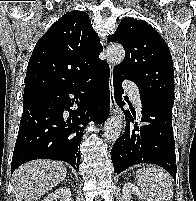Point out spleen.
<instances>
[{"mask_svg":"<svg viewBox=\"0 0 196 201\" xmlns=\"http://www.w3.org/2000/svg\"><path fill=\"white\" fill-rule=\"evenodd\" d=\"M136 180L150 201H172V181L163 170L154 167L139 169Z\"/></svg>","mask_w":196,"mask_h":201,"instance_id":"obj_1","label":"spleen"}]
</instances>
